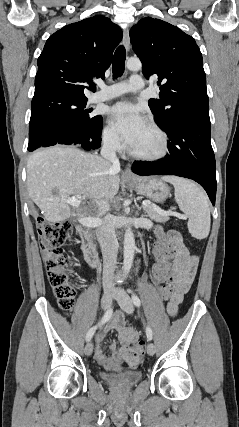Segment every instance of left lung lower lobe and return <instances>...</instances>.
<instances>
[{"mask_svg": "<svg viewBox=\"0 0 239 427\" xmlns=\"http://www.w3.org/2000/svg\"><path fill=\"white\" fill-rule=\"evenodd\" d=\"M168 135L169 153L155 161H136L132 171L138 175H176L198 182L215 205L216 165L210 142V122L177 119L161 127Z\"/></svg>", "mask_w": 239, "mask_h": 427, "instance_id": "left-lung-lower-lobe-1", "label": "left lung lower lobe"}]
</instances>
